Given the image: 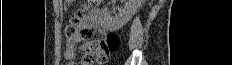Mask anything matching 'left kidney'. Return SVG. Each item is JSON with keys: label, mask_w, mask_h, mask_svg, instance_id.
Wrapping results in <instances>:
<instances>
[{"label": "left kidney", "mask_w": 232, "mask_h": 65, "mask_svg": "<svg viewBox=\"0 0 232 65\" xmlns=\"http://www.w3.org/2000/svg\"><path fill=\"white\" fill-rule=\"evenodd\" d=\"M140 0H127L119 12L112 16L111 12L105 7L101 12V25L109 31H115L124 26L137 12Z\"/></svg>", "instance_id": "5707ae66"}]
</instances>
